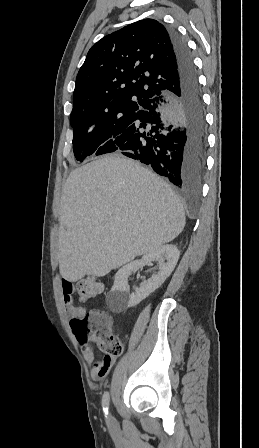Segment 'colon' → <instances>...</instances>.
<instances>
[{
	"mask_svg": "<svg viewBox=\"0 0 259 448\" xmlns=\"http://www.w3.org/2000/svg\"><path fill=\"white\" fill-rule=\"evenodd\" d=\"M76 290L79 300L85 302L98 297L102 293L103 286L95 278L86 277L77 283ZM73 327L81 344L93 341L106 356L121 355L122 342L113 333L109 316L103 310L90 309L83 317L73 321Z\"/></svg>",
	"mask_w": 259,
	"mask_h": 448,
	"instance_id": "obj_1",
	"label": "colon"
}]
</instances>
